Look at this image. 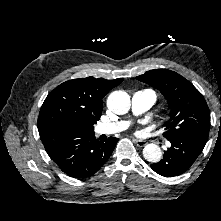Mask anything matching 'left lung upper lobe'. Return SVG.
<instances>
[{
    "instance_id": "obj_1",
    "label": "left lung upper lobe",
    "mask_w": 221,
    "mask_h": 221,
    "mask_svg": "<svg viewBox=\"0 0 221 221\" xmlns=\"http://www.w3.org/2000/svg\"><path fill=\"white\" fill-rule=\"evenodd\" d=\"M136 78L158 89L167 99L170 119L164 123L166 139L194 132L209 133V108L188 80L168 69L150 70Z\"/></svg>"
}]
</instances>
